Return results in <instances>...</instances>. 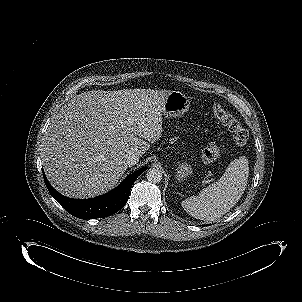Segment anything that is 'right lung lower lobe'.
Listing matches in <instances>:
<instances>
[{
	"label": "right lung lower lobe",
	"instance_id": "obj_1",
	"mask_svg": "<svg viewBox=\"0 0 302 302\" xmlns=\"http://www.w3.org/2000/svg\"><path fill=\"white\" fill-rule=\"evenodd\" d=\"M146 169L147 167H143L132 173L118 187L104 195L83 200L63 196L50 185L44 172L43 176L52 197L71 215L80 219H94L107 217L118 212L126 204L133 183Z\"/></svg>",
	"mask_w": 302,
	"mask_h": 302
}]
</instances>
